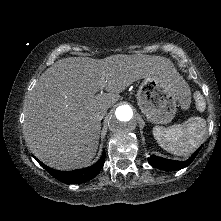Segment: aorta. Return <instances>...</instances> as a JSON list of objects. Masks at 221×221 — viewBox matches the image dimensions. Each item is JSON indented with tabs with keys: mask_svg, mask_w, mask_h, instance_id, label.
Masks as SVG:
<instances>
[{
	"mask_svg": "<svg viewBox=\"0 0 221 221\" xmlns=\"http://www.w3.org/2000/svg\"><path fill=\"white\" fill-rule=\"evenodd\" d=\"M108 125L110 131L119 136L133 132L137 124L132 107L127 104L118 106L111 115Z\"/></svg>",
	"mask_w": 221,
	"mask_h": 221,
	"instance_id": "aorta-1",
	"label": "aorta"
}]
</instances>
